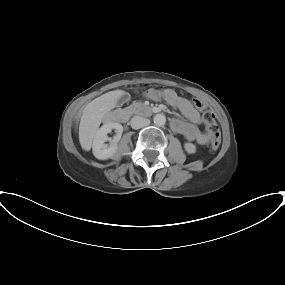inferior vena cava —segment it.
<instances>
[{"label": "inferior vena cava", "instance_id": "602c4592", "mask_svg": "<svg viewBox=\"0 0 285 285\" xmlns=\"http://www.w3.org/2000/svg\"><path fill=\"white\" fill-rule=\"evenodd\" d=\"M150 124V120L141 116H134L131 119V127L133 129H140Z\"/></svg>", "mask_w": 285, "mask_h": 285}]
</instances>
